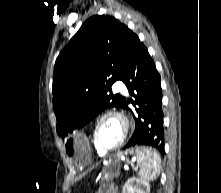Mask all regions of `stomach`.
<instances>
[{
    "label": "stomach",
    "instance_id": "obj_1",
    "mask_svg": "<svg viewBox=\"0 0 221 193\" xmlns=\"http://www.w3.org/2000/svg\"><path fill=\"white\" fill-rule=\"evenodd\" d=\"M61 137L66 138L64 155L74 159L76 167H91V150H88L85 137H78V133H62Z\"/></svg>",
    "mask_w": 221,
    "mask_h": 193
}]
</instances>
